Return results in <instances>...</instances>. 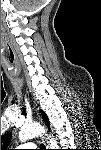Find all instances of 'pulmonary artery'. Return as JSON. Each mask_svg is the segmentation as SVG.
I'll use <instances>...</instances> for the list:
<instances>
[{
  "instance_id": "obj_1",
  "label": "pulmonary artery",
  "mask_w": 101,
  "mask_h": 150,
  "mask_svg": "<svg viewBox=\"0 0 101 150\" xmlns=\"http://www.w3.org/2000/svg\"><path fill=\"white\" fill-rule=\"evenodd\" d=\"M23 148H35V144L34 143H27V144H23L21 145Z\"/></svg>"
}]
</instances>
